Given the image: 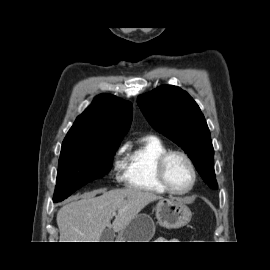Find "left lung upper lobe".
Masks as SVG:
<instances>
[{
  "label": "left lung upper lobe",
  "mask_w": 270,
  "mask_h": 270,
  "mask_svg": "<svg viewBox=\"0 0 270 270\" xmlns=\"http://www.w3.org/2000/svg\"><path fill=\"white\" fill-rule=\"evenodd\" d=\"M137 102L152 127L177 143L203 180L217 189L210 131L192 97L177 86L162 85L139 96Z\"/></svg>",
  "instance_id": "5c2ea615"
}]
</instances>
